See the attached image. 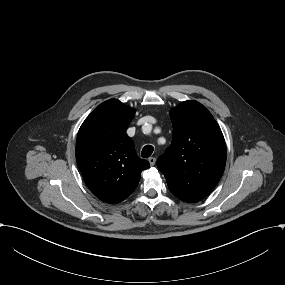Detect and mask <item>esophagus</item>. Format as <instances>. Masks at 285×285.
I'll use <instances>...</instances> for the list:
<instances>
[{
	"label": "esophagus",
	"instance_id": "34e87169",
	"mask_svg": "<svg viewBox=\"0 0 285 285\" xmlns=\"http://www.w3.org/2000/svg\"><path fill=\"white\" fill-rule=\"evenodd\" d=\"M148 162L150 163L151 166H153L156 163V158L155 157H150V158H148Z\"/></svg>",
	"mask_w": 285,
	"mask_h": 285
}]
</instances>
